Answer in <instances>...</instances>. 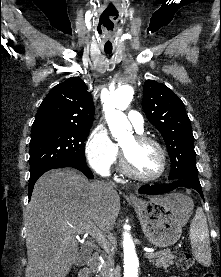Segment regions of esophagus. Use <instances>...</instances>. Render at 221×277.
<instances>
[{
	"instance_id": "1",
	"label": "esophagus",
	"mask_w": 221,
	"mask_h": 277,
	"mask_svg": "<svg viewBox=\"0 0 221 277\" xmlns=\"http://www.w3.org/2000/svg\"><path fill=\"white\" fill-rule=\"evenodd\" d=\"M129 198L132 199V200L137 199V197L132 193H129Z\"/></svg>"
}]
</instances>
